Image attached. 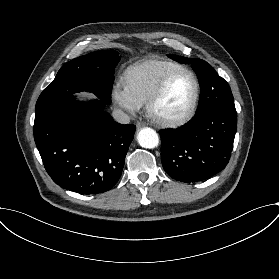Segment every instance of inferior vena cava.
<instances>
[{
	"label": "inferior vena cava",
	"instance_id": "inferior-vena-cava-1",
	"mask_svg": "<svg viewBox=\"0 0 279 279\" xmlns=\"http://www.w3.org/2000/svg\"><path fill=\"white\" fill-rule=\"evenodd\" d=\"M112 117L114 120L121 124H129L130 117L121 109H114L112 112Z\"/></svg>",
	"mask_w": 279,
	"mask_h": 279
}]
</instances>
